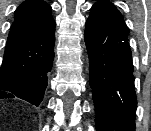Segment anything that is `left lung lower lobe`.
<instances>
[{"instance_id":"0a47b994","label":"left lung lower lobe","mask_w":151,"mask_h":131,"mask_svg":"<svg viewBox=\"0 0 151 131\" xmlns=\"http://www.w3.org/2000/svg\"><path fill=\"white\" fill-rule=\"evenodd\" d=\"M128 33L112 3L93 5L84 38L97 131H135L137 99Z\"/></svg>"}]
</instances>
